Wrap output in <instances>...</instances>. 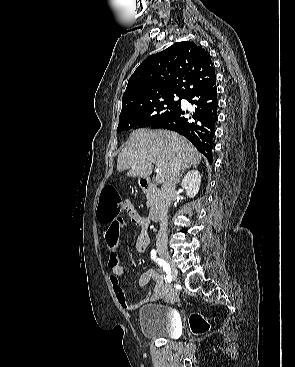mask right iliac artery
<instances>
[{"label":"right iliac artery","mask_w":295,"mask_h":367,"mask_svg":"<svg viewBox=\"0 0 295 367\" xmlns=\"http://www.w3.org/2000/svg\"><path fill=\"white\" fill-rule=\"evenodd\" d=\"M151 258L158 264L160 265V267L163 268V271L166 273V280L167 282H171L172 281V275H171V269L169 267V265L162 259L158 258L156 255V251L152 250L151 251Z\"/></svg>","instance_id":"1"}]
</instances>
